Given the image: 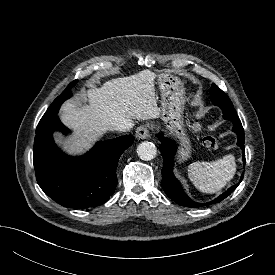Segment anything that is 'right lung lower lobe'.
<instances>
[{
	"label": "right lung lower lobe",
	"mask_w": 275,
	"mask_h": 275,
	"mask_svg": "<svg viewBox=\"0 0 275 275\" xmlns=\"http://www.w3.org/2000/svg\"><path fill=\"white\" fill-rule=\"evenodd\" d=\"M59 108L48 109L36 128L33 163L37 183L62 206L75 209L99 206L114 193L119 158L132 145L134 137L99 141L84 156H66L52 136L57 130L63 134L69 132L57 116Z\"/></svg>",
	"instance_id": "obj_1"
}]
</instances>
